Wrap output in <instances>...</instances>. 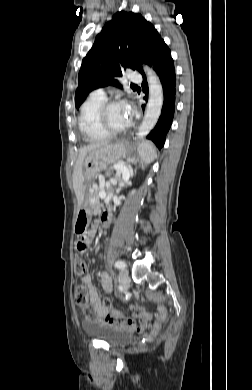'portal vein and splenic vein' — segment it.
Segmentation results:
<instances>
[{
  "mask_svg": "<svg viewBox=\"0 0 252 390\" xmlns=\"http://www.w3.org/2000/svg\"><path fill=\"white\" fill-rule=\"evenodd\" d=\"M114 169L117 171V173L119 174V173H122L123 174V177H125V176H127L128 174H129V172H128V169L126 168V166H124V165H122V164H115L114 165ZM113 181L111 180V183H112ZM105 184H103V186H104ZM106 186L108 187V186H110V183H107L106 184ZM99 196L101 197V198H105L106 197V193L105 192H101L100 194H99Z\"/></svg>",
  "mask_w": 252,
  "mask_h": 390,
  "instance_id": "18ae733b",
  "label": "portal vein and splenic vein"
}]
</instances>
